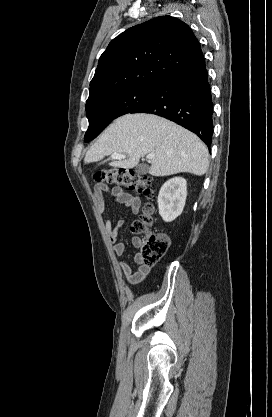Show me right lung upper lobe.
<instances>
[{"instance_id": "1", "label": "right lung upper lobe", "mask_w": 272, "mask_h": 417, "mask_svg": "<svg viewBox=\"0 0 272 417\" xmlns=\"http://www.w3.org/2000/svg\"><path fill=\"white\" fill-rule=\"evenodd\" d=\"M200 55L193 31L177 18L160 16L133 26L101 55L87 102L130 87L160 85Z\"/></svg>"}]
</instances>
